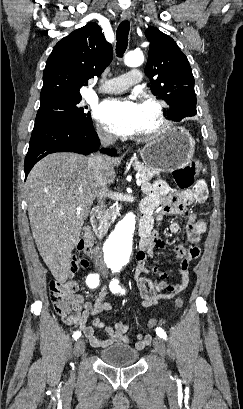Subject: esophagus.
I'll return each instance as SVG.
<instances>
[{
    "label": "esophagus",
    "instance_id": "obj_1",
    "mask_svg": "<svg viewBox=\"0 0 243 409\" xmlns=\"http://www.w3.org/2000/svg\"><path fill=\"white\" fill-rule=\"evenodd\" d=\"M131 18V12L130 11H124L121 14V19L122 20H129Z\"/></svg>",
    "mask_w": 243,
    "mask_h": 409
}]
</instances>
